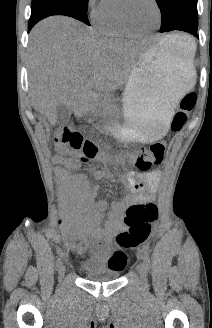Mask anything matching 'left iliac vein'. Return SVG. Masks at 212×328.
<instances>
[{"instance_id":"1","label":"left iliac vein","mask_w":212,"mask_h":328,"mask_svg":"<svg viewBox=\"0 0 212 328\" xmlns=\"http://www.w3.org/2000/svg\"><path fill=\"white\" fill-rule=\"evenodd\" d=\"M137 270L140 275V279L143 283L147 281V269L144 263H140L137 267Z\"/></svg>"}]
</instances>
